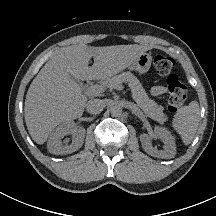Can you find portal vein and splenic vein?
Returning <instances> with one entry per match:
<instances>
[{
	"mask_svg": "<svg viewBox=\"0 0 216 216\" xmlns=\"http://www.w3.org/2000/svg\"><path fill=\"white\" fill-rule=\"evenodd\" d=\"M116 89H117V90H122V89H123V86L118 85V86L116 87ZM102 91H103V88H102L101 86H99V85L89 86V87H87V88L85 89V92H86V94H88V95L98 94V93H100V92H102Z\"/></svg>",
	"mask_w": 216,
	"mask_h": 216,
	"instance_id": "portal-vein-and-splenic-vein-1",
	"label": "portal vein and splenic vein"
}]
</instances>
